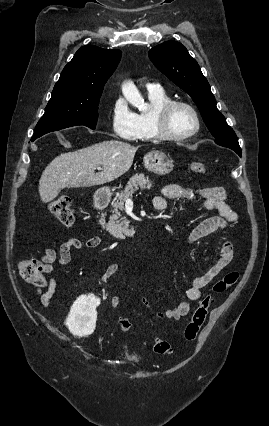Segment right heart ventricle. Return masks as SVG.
I'll return each instance as SVG.
<instances>
[{"instance_id":"right-heart-ventricle-1","label":"right heart ventricle","mask_w":269,"mask_h":426,"mask_svg":"<svg viewBox=\"0 0 269 426\" xmlns=\"http://www.w3.org/2000/svg\"><path fill=\"white\" fill-rule=\"evenodd\" d=\"M148 99L150 102V109L148 111L136 114L138 123L137 138L142 141L158 139L152 124V117L154 112L159 107L171 100V98L164 91H148Z\"/></svg>"}]
</instances>
